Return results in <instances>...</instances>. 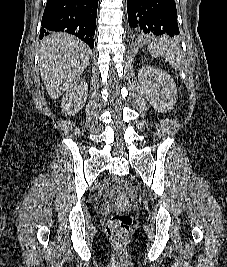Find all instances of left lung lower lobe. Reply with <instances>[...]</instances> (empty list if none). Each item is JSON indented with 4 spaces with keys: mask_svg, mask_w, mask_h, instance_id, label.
Listing matches in <instances>:
<instances>
[{
    "mask_svg": "<svg viewBox=\"0 0 227 267\" xmlns=\"http://www.w3.org/2000/svg\"><path fill=\"white\" fill-rule=\"evenodd\" d=\"M127 12L135 39L179 34L175 0H127Z\"/></svg>",
    "mask_w": 227,
    "mask_h": 267,
    "instance_id": "left-lung-lower-lobe-1",
    "label": "left lung lower lobe"
}]
</instances>
